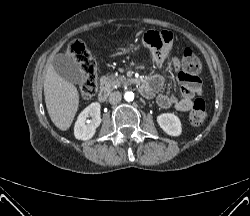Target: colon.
I'll return each instance as SVG.
<instances>
[{
    "mask_svg": "<svg viewBox=\"0 0 250 216\" xmlns=\"http://www.w3.org/2000/svg\"><path fill=\"white\" fill-rule=\"evenodd\" d=\"M68 53L79 64L83 81L80 85V95L84 100H90L97 91V64L89 49L81 42H74L68 48ZM182 72L187 77H197L201 71V62L191 49H185L181 59ZM207 118L205 102L196 99L189 113L193 125H201Z\"/></svg>",
    "mask_w": 250,
    "mask_h": 216,
    "instance_id": "1",
    "label": "colon"
}]
</instances>
